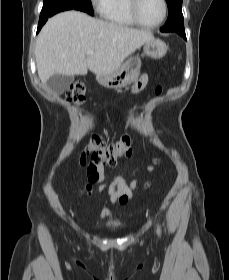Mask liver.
<instances>
[{
	"label": "liver",
	"mask_w": 229,
	"mask_h": 280,
	"mask_svg": "<svg viewBox=\"0 0 229 280\" xmlns=\"http://www.w3.org/2000/svg\"><path fill=\"white\" fill-rule=\"evenodd\" d=\"M149 31L102 21L79 11H66L50 18L36 41V65L43 84L55 74H106L119 69L123 61L145 42ZM93 50L92 55H86Z\"/></svg>",
	"instance_id": "6515ba94"
}]
</instances>
